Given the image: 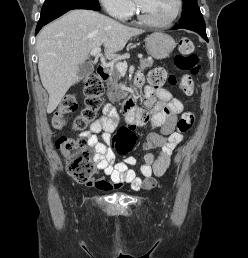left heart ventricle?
Here are the masks:
<instances>
[{
    "instance_id": "1",
    "label": "left heart ventricle",
    "mask_w": 248,
    "mask_h": 258,
    "mask_svg": "<svg viewBox=\"0 0 248 258\" xmlns=\"http://www.w3.org/2000/svg\"><path fill=\"white\" fill-rule=\"evenodd\" d=\"M146 17L156 22L168 21L175 13L177 0H137Z\"/></svg>"
}]
</instances>
